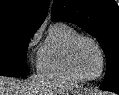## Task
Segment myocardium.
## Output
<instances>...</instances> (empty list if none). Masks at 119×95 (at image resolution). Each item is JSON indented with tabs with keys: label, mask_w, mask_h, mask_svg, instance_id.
<instances>
[{
	"label": "myocardium",
	"mask_w": 119,
	"mask_h": 95,
	"mask_svg": "<svg viewBox=\"0 0 119 95\" xmlns=\"http://www.w3.org/2000/svg\"><path fill=\"white\" fill-rule=\"evenodd\" d=\"M83 41H88V42L92 43L97 48V50L99 51V54L101 56V69L96 76L91 77V76L84 75L77 66L76 51H77V48L80 45V43ZM68 62H69V66L72 69V71L80 79L85 80V81H92V80H96V79L100 78L103 75L105 67H106V56H105L102 46L96 39H94L90 36L79 35L70 44V47L68 50Z\"/></svg>",
	"instance_id": "obj_1"
}]
</instances>
